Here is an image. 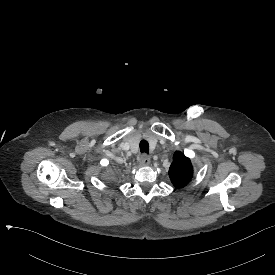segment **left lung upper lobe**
Returning <instances> with one entry per match:
<instances>
[{"label":"left lung upper lobe","instance_id":"obj_1","mask_svg":"<svg viewBox=\"0 0 275 275\" xmlns=\"http://www.w3.org/2000/svg\"><path fill=\"white\" fill-rule=\"evenodd\" d=\"M193 175L191 161L182 152L176 151L173 155V162L169 168V177L176 188L186 186Z\"/></svg>","mask_w":275,"mask_h":275}]
</instances>
